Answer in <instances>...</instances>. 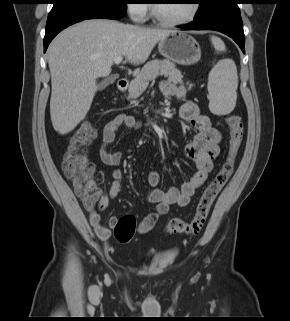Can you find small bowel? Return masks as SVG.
<instances>
[{
	"label": "small bowel",
	"instance_id": "small-bowel-1",
	"mask_svg": "<svg viewBox=\"0 0 290 321\" xmlns=\"http://www.w3.org/2000/svg\"><path fill=\"white\" fill-rule=\"evenodd\" d=\"M160 90L165 97H175L181 102L179 116L189 123L194 129L195 135L191 142L184 148V154L195 163L197 171L192 178L183 183L180 188L172 187L164 191L158 187L160 175L158 172H151L148 176V184L151 191L148 194V201L155 204L156 208L148 214L140 223L139 231L145 233L158 222L161 216L165 215L170 205L177 204L186 206L193 193L208 178L213 169V162L220 154L221 133L212 126L208 117L200 113L197 104L190 100H185L187 90L184 86H177L171 81H163ZM121 127L137 129L138 121L129 114L121 113L112 118L104 126L101 137L102 145L99 150L100 160L108 166H118L122 160L121 152H111L110 146L116 138V133ZM112 182L108 190L100 191L97 208L87 209L89 221L95 233L101 240H108L111 236V228L117 223L116 217L109 219V226L102 223L100 211L107 208L110 200L116 198L122 187L123 173L119 168H115L111 174Z\"/></svg>",
	"mask_w": 290,
	"mask_h": 321
}]
</instances>
